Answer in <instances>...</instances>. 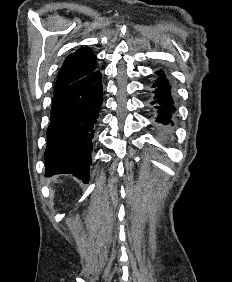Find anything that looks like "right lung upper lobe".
<instances>
[{
	"mask_svg": "<svg viewBox=\"0 0 232 282\" xmlns=\"http://www.w3.org/2000/svg\"><path fill=\"white\" fill-rule=\"evenodd\" d=\"M96 60L97 57L89 47L78 49L70 54L58 73L55 90H60L94 72L97 68Z\"/></svg>",
	"mask_w": 232,
	"mask_h": 282,
	"instance_id": "1",
	"label": "right lung upper lobe"
}]
</instances>
